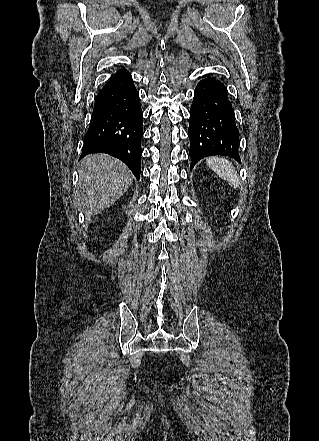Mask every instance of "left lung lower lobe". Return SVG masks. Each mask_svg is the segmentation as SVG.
Returning a JSON list of instances; mask_svg holds the SVG:
<instances>
[{
  "mask_svg": "<svg viewBox=\"0 0 319 441\" xmlns=\"http://www.w3.org/2000/svg\"><path fill=\"white\" fill-rule=\"evenodd\" d=\"M227 88L214 77H205L196 86L190 109L188 136L190 170L212 155L239 159V132Z\"/></svg>",
  "mask_w": 319,
  "mask_h": 441,
  "instance_id": "left-lung-lower-lobe-1",
  "label": "left lung lower lobe"
}]
</instances>
